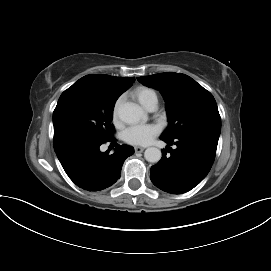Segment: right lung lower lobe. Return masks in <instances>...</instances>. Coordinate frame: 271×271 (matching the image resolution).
Listing matches in <instances>:
<instances>
[{
  "label": "right lung lower lobe",
  "mask_w": 271,
  "mask_h": 271,
  "mask_svg": "<svg viewBox=\"0 0 271 271\" xmlns=\"http://www.w3.org/2000/svg\"><path fill=\"white\" fill-rule=\"evenodd\" d=\"M114 141L112 138L79 144L57 153V157L77 186L88 191L102 190L120 178L125 159L134 153L133 147L125 145H118L112 155L100 151L101 144Z\"/></svg>",
  "instance_id": "98d812e1"
}]
</instances>
